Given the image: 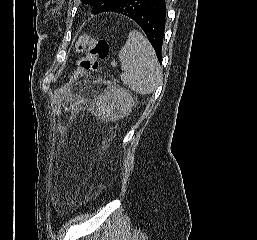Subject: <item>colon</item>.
Masks as SVG:
<instances>
[{
    "instance_id": "obj_1",
    "label": "colon",
    "mask_w": 257,
    "mask_h": 240,
    "mask_svg": "<svg viewBox=\"0 0 257 240\" xmlns=\"http://www.w3.org/2000/svg\"><path fill=\"white\" fill-rule=\"evenodd\" d=\"M75 53L80 55L76 61L77 67L72 80H76L88 73L97 71L99 61L109 55V45L104 38L95 37L90 34L82 35L74 46ZM70 84L61 87L54 94V113L59 116L62 111L63 100L69 91Z\"/></svg>"
}]
</instances>
